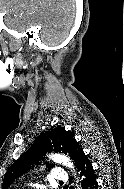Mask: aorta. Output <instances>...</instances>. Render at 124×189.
I'll return each instance as SVG.
<instances>
[{
	"label": "aorta",
	"instance_id": "1",
	"mask_svg": "<svg viewBox=\"0 0 124 189\" xmlns=\"http://www.w3.org/2000/svg\"><path fill=\"white\" fill-rule=\"evenodd\" d=\"M49 159H52L56 163L63 164L66 167L70 168L72 172H75L73 163L68 157L61 154H51L49 155Z\"/></svg>",
	"mask_w": 124,
	"mask_h": 189
}]
</instances>
